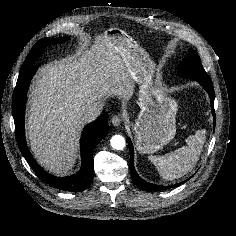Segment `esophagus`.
Here are the masks:
<instances>
[{
	"instance_id": "34e87169",
	"label": "esophagus",
	"mask_w": 236,
	"mask_h": 236,
	"mask_svg": "<svg viewBox=\"0 0 236 236\" xmlns=\"http://www.w3.org/2000/svg\"><path fill=\"white\" fill-rule=\"evenodd\" d=\"M121 122H122V117L120 115H114L111 118V123L115 127L119 126L121 124Z\"/></svg>"
}]
</instances>
